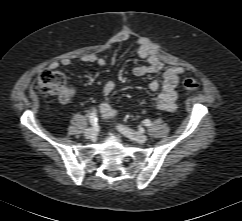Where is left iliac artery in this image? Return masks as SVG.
I'll use <instances>...</instances> for the list:
<instances>
[{"label":"left iliac artery","mask_w":242,"mask_h":221,"mask_svg":"<svg viewBox=\"0 0 242 221\" xmlns=\"http://www.w3.org/2000/svg\"><path fill=\"white\" fill-rule=\"evenodd\" d=\"M143 123L145 126H151V121L149 119H145Z\"/></svg>","instance_id":"left-iliac-artery-1"}]
</instances>
